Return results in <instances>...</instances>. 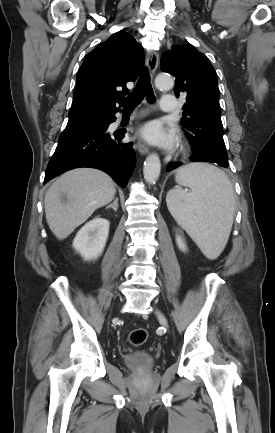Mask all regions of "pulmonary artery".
<instances>
[{"instance_id":"e3ab8cb5","label":"pulmonary artery","mask_w":275,"mask_h":433,"mask_svg":"<svg viewBox=\"0 0 275 433\" xmlns=\"http://www.w3.org/2000/svg\"><path fill=\"white\" fill-rule=\"evenodd\" d=\"M160 108L162 112L172 113L176 108V98L172 94H164L160 101Z\"/></svg>"}]
</instances>
